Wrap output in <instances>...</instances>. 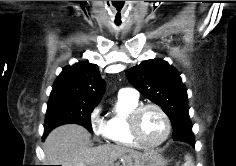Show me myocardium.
I'll return each mask as SVG.
<instances>
[{
	"label": "myocardium",
	"mask_w": 236,
	"mask_h": 166,
	"mask_svg": "<svg viewBox=\"0 0 236 166\" xmlns=\"http://www.w3.org/2000/svg\"><path fill=\"white\" fill-rule=\"evenodd\" d=\"M147 109L156 110L163 117L164 122H165L164 136L158 142H155V143H147L146 141H144L143 138L141 137L140 130H139L140 117L143 114V112L146 111ZM128 124H129V130H130V134L132 138L140 146L144 148H148V149L161 146L169 138V135L171 132V122H170L169 116L167 115V113L164 111V109L161 106L155 103L142 104V105H139L137 108H135L129 116Z\"/></svg>",
	"instance_id": "1"
}]
</instances>
